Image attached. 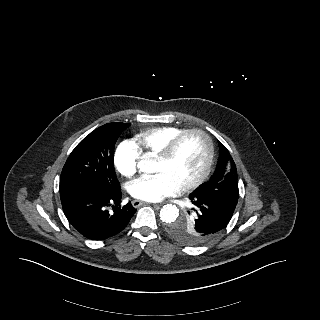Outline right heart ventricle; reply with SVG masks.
Instances as JSON below:
<instances>
[{
  "mask_svg": "<svg viewBox=\"0 0 320 320\" xmlns=\"http://www.w3.org/2000/svg\"><path fill=\"white\" fill-rule=\"evenodd\" d=\"M186 129L176 126L150 128L134 138L139 151L150 156H158L167 144Z\"/></svg>",
  "mask_w": 320,
  "mask_h": 320,
  "instance_id": "e07e8e85",
  "label": "right heart ventricle"
}]
</instances>
